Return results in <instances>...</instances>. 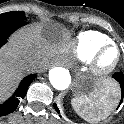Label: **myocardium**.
Here are the masks:
<instances>
[{
	"label": "myocardium",
	"instance_id": "1",
	"mask_svg": "<svg viewBox=\"0 0 124 124\" xmlns=\"http://www.w3.org/2000/svg\"><path fill=\"white\" fill-rule=\"evenodd\" d=\"M110 49H115L117 51V58L113 64L106 67L101 64V59L106 54V52L109 51ZM123 57H124V54L121 48L117 44L113 42L104 44L101 47H99L95 51V53L92 55L89 61L90 71L96 77H100V78L107 77L116 71Z\"/></svg>",
	"mask_w": 124,
	"mask_h": 124
}]
</instances>
